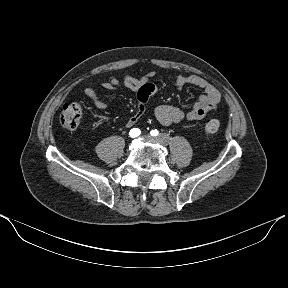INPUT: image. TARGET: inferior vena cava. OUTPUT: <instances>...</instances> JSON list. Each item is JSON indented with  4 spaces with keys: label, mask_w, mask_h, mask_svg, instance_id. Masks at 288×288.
Here are the masks:
<instances>
[{
    "label": "inferior vena cava",
    "mask_w": 288,
    "mask_h": 288,
    "mask_svg": "<svg viewBox=\"0 0 288 288\" xmlns=\"http://www.w3.org/2000/svg\"><path fill=\"white\" fill-rule=\"evenodd\" d=\"M155 137L163 147H168L170 145V140L164 132L162 131L156 132Z\"/></svg>",
    "instance_id": "602c4592"
}]
</instances>
